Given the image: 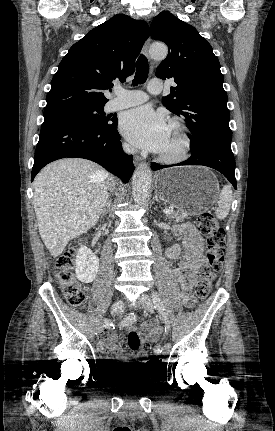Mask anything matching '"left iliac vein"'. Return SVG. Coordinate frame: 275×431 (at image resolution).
<instances>
[{"mask_svg": "<svg viewBox=\"0 0 275 431\" xmlns=\"http://www.w3.org/2000/svg\"><path fill=\"white\" fill-rule=\"evenodd\" d=\"M139 303H140V305L146 310V311H148V312H150V313H152L153 311H154V302H153V300L151 299V297L149 296V295H147V294H142L141 295V297H140V300H139ZM170 350H171V345L170 344H166L164 347H163V351H162V353L164 354V355H167V354H169V352H170Z\"/></svg>", "mask_w": 275, "mask_h": 431, "instance_id": "4c4485c4", "label": "left iliac vein"}]
</instances>
